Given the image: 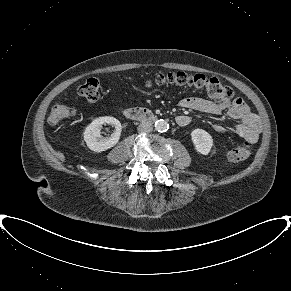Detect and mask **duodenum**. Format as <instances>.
Segmentation results:
<instances>
[{
    "label": "duodenum",
    "instance_id": "410a0bca",
    "mask_svg": "<svg viewBox=\"0 0 291 291\" xmlns=\"http://www.w3.org/2000/svg\"><path fill=\"white\" fill-rule=\"evenodd\" d=\"M124 116L129 120L140 122H153L157 117L148 109L135 107L124 111Z\"/></svg>",
    "mask_w": 291,
    "mask_h": 291
}]
</instances>
